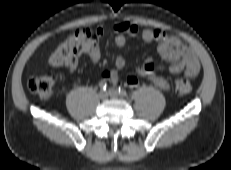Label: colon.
Masks as SVG:
<instances>
[{
	"instance_id": "1",
	"label": "colon",
	"mask_w": 231,
	"mask_h": 170,
	"mask_svg": "<svg viewBox=\"0 0 231 170\" xmlns=\"http://www.w3.org/2000/svg\"><path fill=\"white\" fill-rule=\"evenodd\" d=\"M94 34L88 29H80L59 43L49 57V63L54 67L68 66L73 56L78 52L83 42ZM55 84V76L45 73L28 81V89L40 99L47 101L52 97ZM174 91L179 95L188 94L191 91L190 82L179 76L173 84Z\"/></svg>"
}]
</instances>
